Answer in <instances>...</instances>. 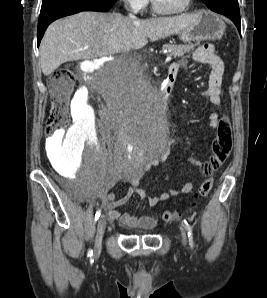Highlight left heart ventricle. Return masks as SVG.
Segmentation results:
<instances>
[{
	"instance_id": "b2bd125f",
	"label": "left heart ventricle",
	"mask_w": 267,
	"mask_h": 298,
	"mask_svg": "<svg viewBox=\"0 0 267 298\" xmlns=\"http://www.w3.org/2000/svg\"><path fill=\"white\" fill-rule=\"evenodd\" d=\"M161 9L165 11H179L181 10L187 0H156Z\"/></svg>"
}]
</instances>
